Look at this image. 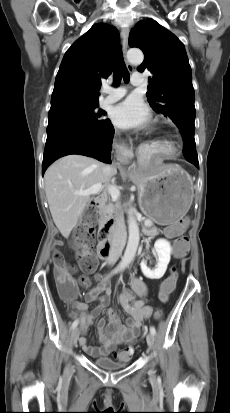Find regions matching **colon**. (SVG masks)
I'll return each mask as SVG.
<instances>
[{
    "label": "colon",
    "mask_w": 230,
    "mask_h": 413,
    "mask_svg": "<svg viewBox=\"0 0 230 413\" xmlns=\"http://www.w3.org/2000/svg\"><path fill=\"white\" fill-rule=\"evenodd\" d=\"M96 210L93 206H88L84 214V223L80 227L79 231L73 238V247L80 252V265L85 271H92L97 266V258L85 249L93 242V229L96 223ZM178 226L184 228L186 225L185 219H180L177 223ZM190 246V241L184 235H180L175 244L176 256L178 258H185L187 251L185 248ZM53 273L56 280V285L61 294L66 298H72L76 292V281L71 277L69 273V267L58 250H54L52 253ZM81 280H84L82 277ZM178 275L177 269L173 267L171 273L168 274V278H161L159 299L165 303L168 301L170 293L175 289L177 285ZM161 313H157V317H160ZM129 356L132 355L133 349L128 347L123 350Z\"/></svg>",
    "instance_id": "obj_1"
}]
</instances>
